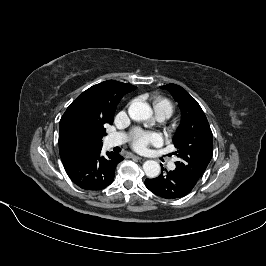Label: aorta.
Returning a JSON list of instances; mask_svg holds the SVG:
<instances>
[{
	"label": "aorta",
	"instance_id": "1",
	"mask_svg": "<svg viewBox=\"0 0 266 266\" xmlns=\"http://www.w3.org/2000/svg\"><path fill=\"white\" fill-rule=\"evenodd\" d=\"M129 116L136 121L148 120L152 117V109L142 101H135L129 107ZM143 170L149 178H155L160 174V164L154 160H147L143 164Z\"/></svg>",
	"mask_w": 266,
	"mask_h": 266
}]
</instances>
